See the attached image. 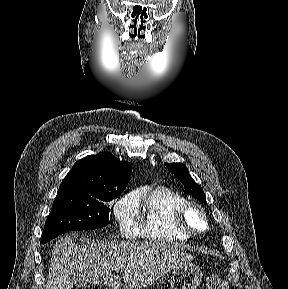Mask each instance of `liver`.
Segmentation results:
<instances>
[{"mask_svg": "<svg viewBox=\"0 0 288 289\" xmlns=\"http://www.w3.org/2000/svg\"><path fill=\"white\" fill-rule=\"evenodd\" d=\"M192 259L190 254L165 242L93 240L78 245L66 236L53 247L46 289H72V275L76 271L88 282L113 288L122 283L112 272L121 271L124 289L145 288Z\"/></svg>", "mask_w": 288, "mask_h": 289, "instance_id": "liver-1", "label": "liver"}]
</instances>
